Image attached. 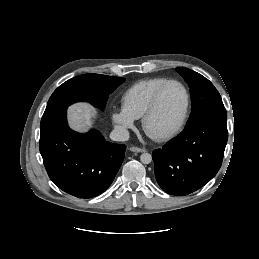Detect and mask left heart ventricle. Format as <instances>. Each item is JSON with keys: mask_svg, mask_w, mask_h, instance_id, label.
Wrapping results in <instances>:
<instances>
[{"mask_svg": "<svg viewBox=\"0 0 259 259\" xmlns=\"http://www.w3.org/2000/svg\"><path fill=\"white\" fill-rule=\"evenodd\" d=\"M186 103L183 89L178 84L168 85L161 94L158 108L148 123L152 136L163 135L180 121Z\"/></svg>", "mask_w": 259, "mask_h": 259, "instance_id": "1", "label": "left heart ventricle"}]
</instances>
